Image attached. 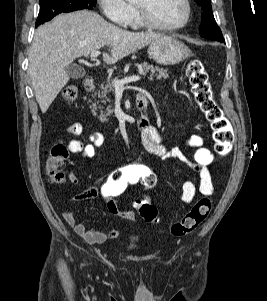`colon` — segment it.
I'll return each mask as SVG.
<instances>
[{"label": "colon", "instance_id": "obj_1", "mask_svg": "<svg viewBox=\"0 0 267 301\" xmlns=\"http://www.w3.org/2000/svg\"><path fill=\"white\" fill-rule=\"evenodd\" d=\"M185 72L189 78L194 99L212 129L214 150L217 154L225 156L232 148L234 133L230 121L214 100L209 75L203 63L195 58L187 62ZM77 94L78 91L74 85H68L62 90V97L66 101H74ZM67 157V148L62 143H55L50 147L45 167L51 182L61 183L65 180L62 167ZM155 182L156 176L151 168L141 163H128L111 173L107 181L100 186L99 196L106 209L111 212L132 186L141 184L145 189H150ZM135 207L145 221L150 223L159 221L158 210L148 196H142L136 200ZM210 210L211 201L208 198L199 199L180 221L172 224L171 233L174 236H184L193 232L205 221Z\"/></svg>", "mask_w": 267, "mask_h": 301}]
</instances>
